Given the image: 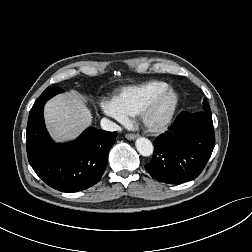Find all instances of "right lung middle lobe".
<instances>
[{"label": "right lung middle lobe", "mask_w": 252, "mask_h": 252, "mask_svg": "<svg viewBox=\"0 0 252 252\" xmlns=\"http://www.w3.org/2000/svg\"><path fill=\"white\" fill-rule=\"evenodd\" d=\"M62 92H63V89L59 88V87H56V86H50V87L46 88V90L36 100V102L33 105L32 109L37 108L41 104H44L51 97L55 96L56 94L62 93Z\"/></svg>", "instance_id": "obj_1"}]
</instances>
